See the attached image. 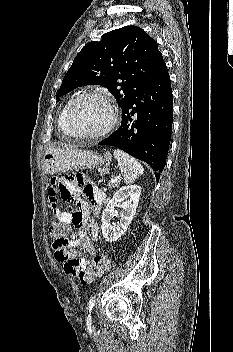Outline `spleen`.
<instances>
[{
  "instance_id": "1",
  "label": "spleen",
  "mask_w": 233,
  "mask_h": 352,
  "mask_svg": "<svg viewBox=\"0 0 233 352\" xmlns=\"http://www.w3.org/2000/svg\"><path fill=\"white\" fill-rule=\"evenodd\" d=\"M114 156L118 162L124 183L131 184L143 174L144 169L142 165L124 151L116 149L114 151Z\"/></svg>"
}]
</instances>
